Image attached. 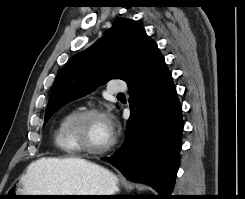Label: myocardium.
<instances>
[{"label": "myocardium", "instance_id": "obj_1", "mask_svg": "<svg viewBox=\"0 0 245 199\" xmlns=\"http://www.w3.org/2000/svg\"><path fill=\"white\" fill-rule=\"evenodd\" d=\"M92 116H102L110 120L108 113L102 109L88 108V109L80 110L76 112L73 118L70 120L68 125V134L73 142L74 147L79 152H84L89 155H102L112 150V148L115 146L116 136L112 133L111 141L109 142V144H107L102 148L95 149L86 145L82 141L80 137V133H81L83 123Z\"/></svg>", "mask_w": 245, "mask_h": 199}]
</instances>
